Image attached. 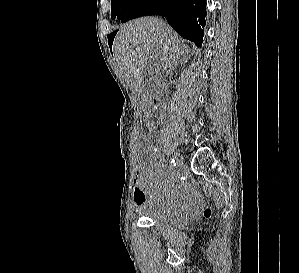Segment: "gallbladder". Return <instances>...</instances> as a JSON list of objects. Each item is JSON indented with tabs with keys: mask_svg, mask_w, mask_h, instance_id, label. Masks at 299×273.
Wrapping results in <instances>:
<instances>
[{
	"mask_svg": "<svg viewBox=\"0 0 299 273\" xmlns=\"http://www.w3.org/2000/svg\"><path fill=\"white\" fill-rule=\"evenodd\" d=\"M157 67L155 61H149L143 70V94L150 97L153 94Z\"/></svg>",
	"mask_w": 299,
	"mask_h": 273,
	"instance_id": "obj_1",
	"label": "gallbladder"
}]
</instances>
